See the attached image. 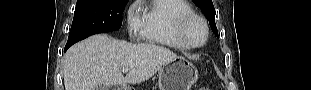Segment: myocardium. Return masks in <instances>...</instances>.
<instances>
[{"label":"myocardium","mask_w":311,"mask_h":90,"mask_svg":"<svg viewBox=\"0 0 311 90\" xmlns=\"http://www.w3.org/2000/svg\"><path fill=\"white\" fill-rule=\"evenodd\" d=\"M193 22H199L204 29V37L201 42L195 43L188 36V28ZM176 34L180 41L188 48H200L204 46L209 37V27L206 20L195 13L182 16L176 26Z\"/></svg>","instance_id":"1"}]
</instances>
